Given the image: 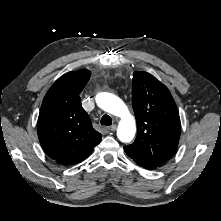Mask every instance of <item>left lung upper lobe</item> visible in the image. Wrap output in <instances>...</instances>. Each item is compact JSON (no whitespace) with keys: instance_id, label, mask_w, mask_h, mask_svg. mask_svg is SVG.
<instances>
[{"instance_id":"obj_1","label":"left lung upper lobe","mask_w":221,"mask_h":221,"mask_svg":"<svg viewBox=\"0 0 221 221\" xmlns=\"http://www.w3.org/2000/svg\"><path fill=\"white\" fill-rule=\"evenodd\" d=\"M132 103L137 137L125 146L134 161L159 167L175 152L181 131L179 113L168 88L147 72H134Z\"/></svg>"}]
</instances>
